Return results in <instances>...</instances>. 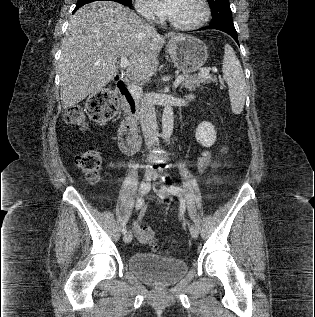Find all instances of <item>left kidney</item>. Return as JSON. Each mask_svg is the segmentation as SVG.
Segmentation results:
<instances>
[{
    "mask_svg": "<svg viewBox=\"0 0 315 317\" xmlns=\"http://www.w3.org/2000/svg\"><path fill=\"white\" fill-rule=\"evenodd\" d=\"M195 137L202 146L211 147L216 141L215 127L211 123L204 121L198 125Z\"/></svg>",
    "mask_w": 315,
    "mask_h": 317,
    "instance_id": "5707ae66",
    "label": "left kidney"
}]
</instances>
